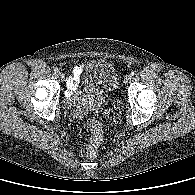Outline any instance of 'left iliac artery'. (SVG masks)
<instances>
[{"label": "left iliac artery", "mask_w": 195, "mask_h": 195, "mask_svg": "<svg viewBox=\"0 0 195 195\" xmlns=\"http://www.w3.org/2000/svg\"><path fill=\"white\" fill-rule=\"evenodd\" d=\"M134 75H135V72H134V71H132V72H131V76H134Z\"/></svg>", "instance_id": "left-iliac-artery-1"}]
</instances>
